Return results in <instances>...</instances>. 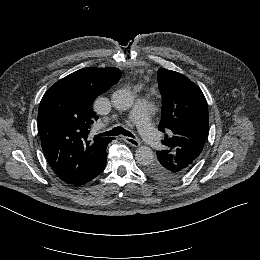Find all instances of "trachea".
<instances>
[{
	"label": "trachea",
	"mask_w": 260,
	"mask_h": 260,
	"mask_svg": "<svg viewBox=\"0 0 260 260\" xmlns=\"http://www.w3.org/2000/svg\"><path fill=\"white\" fill-rule=\"evenodd\" d=\"M120 134L134 138L132 133L129 132L128 130L124 129L122 126H117V127L113 128L112 130L100 133L99 136H118Z\"/></svg>",
	"instance_id": "obj_1"
}]
</instances>
